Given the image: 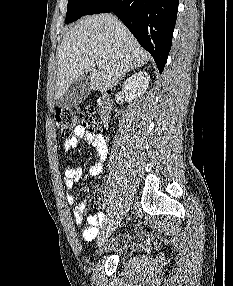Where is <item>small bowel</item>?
<instances>
[{
  "label": "small bowel",
  "instance_id": "obj_1",
  "mask_svg": "<svg viewBox=\"0 0 233 286\" xmlns=\"http://www.w3.org/2000/svg\"><path fill=\"white\" fill-rule=\"evenodd\" d=\"M80 140H83L86 144L92 145L97 153L96 161L90 167V174L92 176H98L101 174L104 162L108 155L107 142L103 135L99 133H93L87 131L84 127L78 126L74 130L73 136L66 140L64 149L66 152L74 149ZM83 177V170L80 166H68L63 171V179L67 189H72L75 183L79 182ZM96 203L100 206H104L106 199L101 191H98L95 195ZM76 200L75 195L67 194V201L73 204ZM87 208V202L81 201L73 208V216L76 224L81 225L83 223L84 212ZM105 214L98 212L88 216L87 225L82 229V237L85 241H92L98 234L99 227L104 223Z\"/></svg>",
  "mask_w": 233,
  "mask_h": 286
}]
</instances>
